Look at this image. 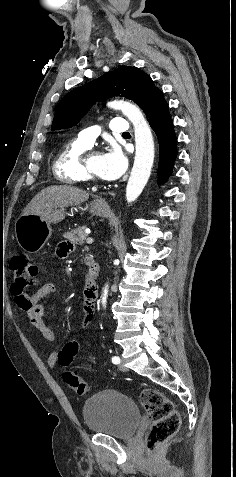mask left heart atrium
I'll return each mask as SVG.
<instances>
[{"label": "left heart atrium", "instance_id": "obj_1", "mask_svg": "<svg viewBox=\"0 0 236 477\" xmlns=\"http://www.w3.org/2000/svg\"><path fill=\"white\" fill-rule=\"evenodd\" d=\"M101 157L105 178L116 179L123 174L127 166V160L119 148L112 146Z\"/></svg>", "mask_w": 236, "mask_h": 477}]
</instances>
